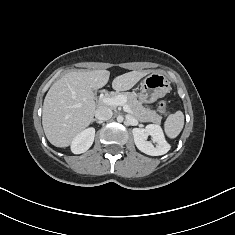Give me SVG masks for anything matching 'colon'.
<instances>
[{"instance_id":"colon-1","label":"colon","mask_w":235,"mask_h":235,"mask_svg":"<svg viewBox=\"0 0 235 235\" xmlns=\"http://www.w3.org/2000/svg\"><path fill=\"white\" fill-rule=\"evenodd\" d=\"M157 109L161 113H166V102L165 101H160L157 103Z\"/></svg>"}]
</instances>
